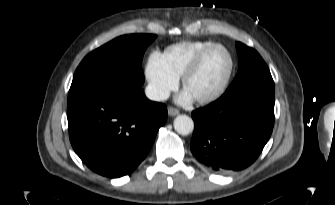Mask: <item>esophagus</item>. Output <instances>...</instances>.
Wrapping results in <instances>:
<instances>
[{
    "mask_svg": "<svg viewBox=\"0 0 335 205\" xmlns=\"http://www.w3.org/2000/svg\"><path fill=\"white\" fill-rule=\"evenodd\" d=\"M168 114L170 116H176L179 114V111L176 109V108H173V107H169L168 108Z\"/></svg>",
    "mask_w": 335,
    "mask_h": 205,
    "instance_id": "1",
    "label": "esophagus"
}]
</instances>
